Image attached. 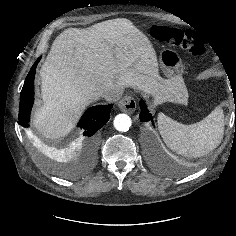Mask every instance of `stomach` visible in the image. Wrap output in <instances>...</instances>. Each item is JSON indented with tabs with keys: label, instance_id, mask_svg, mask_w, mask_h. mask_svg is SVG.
Returning <instances> with one entry per match:
<instances>
[{
	"label": "stomach",
	"instance_id": "obj_1",
	"mask_svg": "<svg viewBox=\"0 0 236 236\" xmlns=\"http://www.w3.org/2000/svg\"><path fill=\"white\" fill-rule=\"evenodd\" d=\"M158 62L170 87L179 89L182 97L187 99V91L182 83L183 64L178 53L172 49H163Z\"/></svg>",
	"mask_w": 236,
	"mask_h": 236
}]
</instances>
